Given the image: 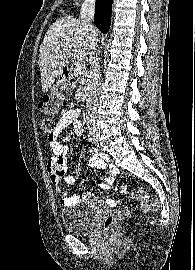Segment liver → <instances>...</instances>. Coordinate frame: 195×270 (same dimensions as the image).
<instances>
[{
  "instance_id": "6515ba94",
  "label": "liver",
  "mask_w": 195,
  "mask_h": 270,
  "mask_svg": "<svg viewBox=\"0 0 195 270\" xmlns=\"http://www.w3.org/2000/svg\"><path fill=\"white\" fill-rule=\"evenodd\" d=\"M96 36L97 30L94 27ZM90 44V32L81 19L62 17L54 22L45 34L40 46L39 68L42 91L47 92L61 74L70 57V50L86 51Z\"/></svg>"
}]
</instances>
